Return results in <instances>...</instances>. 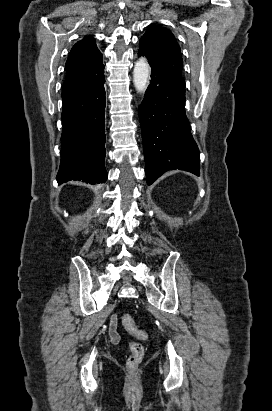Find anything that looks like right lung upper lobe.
<instances>
[{
  "label": "right lung upper lobe",
  "instance_id": "obj_1",
  "mask_svg": "<svg viewBox=\"0 0 272 411\" xmlns=\"http://www.w3.org/2000/svg\"><path fill=\"white\" fill-rule=\"evenodd\" d=\"M65 69L62 98L89 89L101 80L104 74L102 54L92 36L83 38L73 46Z\"/></svg>",
  "mask_w": 272,
  "mask_h": 411
}]
</instances>
